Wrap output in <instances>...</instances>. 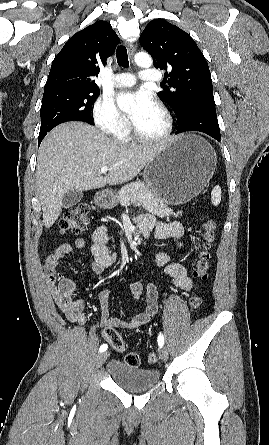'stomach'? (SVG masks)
<instances>
[{"label": "stomach", "mask_w": 269, "mask_h": 445, "mask_svg": "<svg viewBox=\"0 0 269 445\" xmlns=\"http://www.w3.org/2000/svg\"><path fill=\"white\" fill-rule=\"evenodd\" d=\"M217 163L212 146L195 134L174 137L147 163V188L168 205H182L196 197L212 178ZM100 208H113L118 196L111 190L94 198Z\"/></svg>", "instance_id": "1"}]
</instances>
